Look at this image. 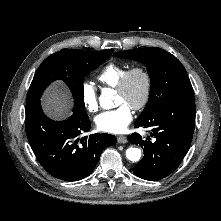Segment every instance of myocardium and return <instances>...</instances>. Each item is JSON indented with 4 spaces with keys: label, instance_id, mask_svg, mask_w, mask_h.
<instances>
[{
    "label": "myocardium",
    "instance_id": "obj_1",
    "mask_svg": "<svg viewBox=\"0 0 221 221\" xmlns=\"http://www.w3.org/2000/svg\"><path fill=\"white\" fill-rule=\"evenodd\" d=\"M136 74L140 75L144 80L143 95L139 102L132 106V109L139 111L147 105L152 91V78L149 71L145 67L133 66L127 69L115 88L117 92L124 93L128 88L131 78Z\"/></svg>",
    "mask_w": 221,
    "mask_h": 221
}]
</instances>
